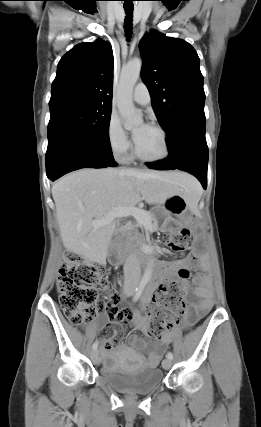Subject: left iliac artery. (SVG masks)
Masks as SVG:
<instances>
[{"label": "left iliac artery", "instance_id": "1", "mask_svg": "<svg viewBox=\"0 0 261 427\" xmlns=\"http://www.w3.org/2000/svg\"><path fill=\"white\" fill-rule=\"evenodd\" d=\"M166 356H167V358H169L171 360L173 359V354L171 352H168Z\"/></svg>", "mask_w": 261, "mask_h": 427}]
</instances>
